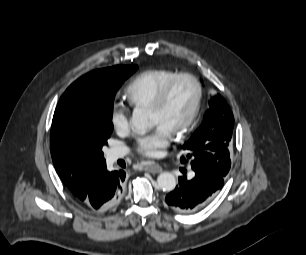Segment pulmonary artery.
Masks as SVG:
<instances>
[{"label":"pulmonary artery","instance_id":"obj_1","mask_svg":"<svg viewBox=\"0 0 306 255\" xmlns=\"http://www.w3.org/2000/svg\"><path fill=\"white\" fill-rule=\"evenodd\" d=\"M127 154L126 148H113L108 152L109 161L113 162Z\"/></svg>","mask_w":306,"mask_h":255}]
</instances>
